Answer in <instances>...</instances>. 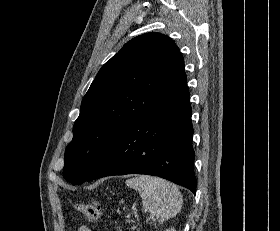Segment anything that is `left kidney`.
Returning a JSON list of instances; mask_svg holds the SVG:
<instances>
[{"mask_svg": "<svg viewBox=\"0 0 280 231\" xmlns=\"http://www.w3.org/2000/svg\"><path fill=\"white\" fill-rule=\"evenodd\" d=\"M166 231H176V229H173V227H171V229H166Z\"/></svg>", "mask_w": 280, "mask_h": 231, "instance_id": "obj_1", "label": "left kidney"}]
</instances>
